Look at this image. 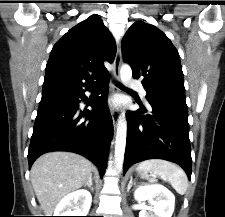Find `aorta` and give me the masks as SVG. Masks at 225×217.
<instances>
[{
	"label": "aorta",
	"mask_w": 225,
	"mask_h": 217,
	"mask_svg": "<svg viewBox=\"0 0 225 217\" xmlns=\"http://www.w3.org/2000/svg\"><path fill=\"white\" fill-rule=\"evenodd\" d=\"M132 70L129 65L124 64L120 69V78L124 85H127L131 80ZM127 137V121L125 112L123 111L118 119L117 132L115 140V166L118 173L121 172L124 160Z\"/></svg>",
	"instance_id": "762f6f07"
}]
</instances>
